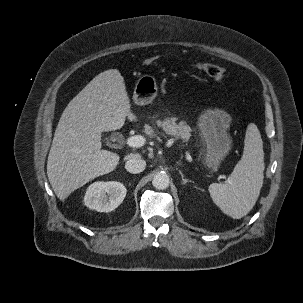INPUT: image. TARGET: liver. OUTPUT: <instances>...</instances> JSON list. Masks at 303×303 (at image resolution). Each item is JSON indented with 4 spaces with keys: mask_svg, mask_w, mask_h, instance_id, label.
<instances>
[{
    "mask_svg": "<svg viewBox=\"0 0 303 303\" xmlns=\"http://www.w3.org/2000/svg\"><path fill=\"white\" fill-rule=\"evenodd\" d=\"M126 117L137 121L117 69L98 74L69 102L55 130L47 161L49 182L61 201L117 167L120 157L101 149V134L122 128ZM134 157L139 154L125 158Z\"/></svg>",
    "mask_w": 303,
    "mask_h": 303,
    "instance_id": "obj_1",
    "label": "liver"
}]
</instances>
